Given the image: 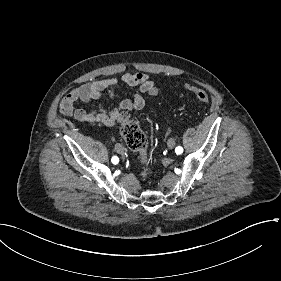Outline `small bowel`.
I'll return each mask as SVG.
<instances>
[{"label": "small bowel", "instance_id": "small-bowel-1", "mask_svg": "<svg viewBox=\"0 0 281 281\" xmlns=\"http://www.w3.org/2000/svg\"><path fill=\"white\" fill-rule=\"evenodd\" d=\"M120 84L134 87L136 92L130 99L121 101L116 107L112 109L98 108L95 110H85L76 107L78 101L88 102L99 99L104 91H107L110 97H113L115 89ZM153 88H156L155 83L147 73L125 72L119 78L109 77L94 80L70 90L61 101L60 112L78 122L101 123L111 126L116 121H120L123 116L129 115V112L132 110H141L145 106L143 95H152L151 90Z\"/></svg>", "mask_w": 281, "mask_h": 281}]
</instances>
